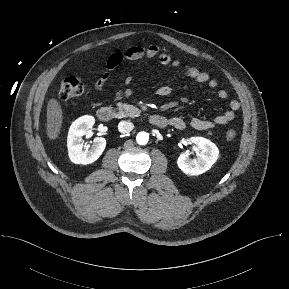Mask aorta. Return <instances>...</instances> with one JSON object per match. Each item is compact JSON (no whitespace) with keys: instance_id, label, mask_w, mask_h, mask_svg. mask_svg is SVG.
Segmentation results:
<instances>
[{"instance_id":"obj_1","label":"aorta","mask_w":289,"mask_h":289,"mask_svg":"<svg viewBox=\"0 0 289 289\" xmlns=\"http://www.w3.org/2000/svg\"><path fill=\"white\" fill-rule=\"evenodd\" d=\"M149 135L146 132H139L136 136V141L139 145L147 144Z\"/></svg>"}]
</instances>
